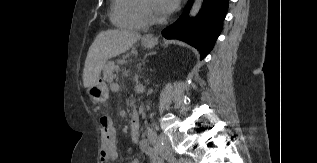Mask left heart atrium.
<instances>
[{"label":"left heart atrium","mask_w":317,"mask_h":163,"mask_svg":"<svg viewBox=\"0 0 317 163\" xmlns=\"http://www.w3.org/2000/svg\"><path fill=\"white\" fill-rule=\"evenodd\" d=\"M159 10L164 14L173 12L178 6L179 0H156Z\"/></svg>","instance_id":"39dd6f15"}]
</instances>
